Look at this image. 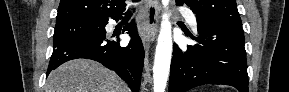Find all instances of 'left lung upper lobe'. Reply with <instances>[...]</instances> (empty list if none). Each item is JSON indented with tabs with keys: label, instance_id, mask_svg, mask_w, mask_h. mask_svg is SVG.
Segmentation results:
<instances>
[{
	"label": "left lung upper lobe",
	"instance_id": "left-lung-upper-lobe-1",
	"mask_svg": "<svg viewBox=\"0 0 289 92\" xmlns=\"http://www.w3.org/2000/svg\"><path fill=\"white\" fill-rule=\"evenodd\" d=\"M189 6L198 18L242 26L236 0H176Z\"/></svg>",
	"mask_w": 289,
	"mask_h": 92
}]
</instances>
